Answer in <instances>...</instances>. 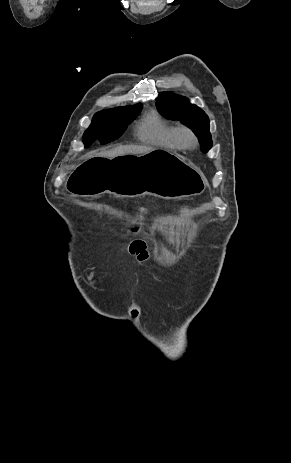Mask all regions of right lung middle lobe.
<instances>
[{
    "instance_id": "1",
    "label": "right lung middle lobe",
    "mask_w": 291,
    "mask_h": 463,
    "mask_svg": "<svg viewBox=\"0 0 291 463\" xmlns=\"http://www.w3.org/2000/svg\"><path fill=\"white\" fill-rule=\"evenodd\" d=\"M141 108L142 105H137L128 109H110L96 113L83 135L85 147H89L95 140L103 145L120 137Z\"/></svg>"
}]
</instances>
